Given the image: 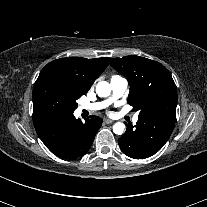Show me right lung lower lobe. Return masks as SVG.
Instances as JSON below:
<instances>
[{"label": "right lung lower lobe", "mask_w": 207, "mask_h": 207, "mask_svg": "<svg viewBox=\"0 0 207 207\" xmlns=\"http://www.w3.org/2000/svg\"><path fill=\"white\" fill-rule=\"evenodd\" d=\"M33 122L38 136L52 153L64 159H76L91 147L102 119L92 115L83 123L73 113H49L33 117Z\"/></svg>", "instance_id": "1"}]
</instances>
